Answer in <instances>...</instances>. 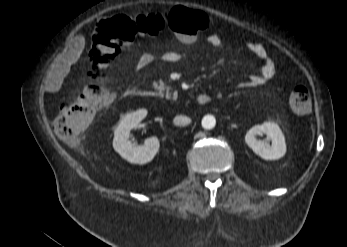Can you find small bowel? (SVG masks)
I'll return each instance as SVG.
<instances>
[{
  "instance_id": "1",
  "label": "small bowel",
  "mask_w": 347,
  "mask_h": 247,
  "mask_svg": "<svg viewBox=\"0 0 347 247\" xmlns=\"http://www.w3.org/2000/svg\"><path fill=\"white\" fill-rule=\"evenodd\" d=\"M190 43L188 41H184ZM207 42L213 47H221L223 44L222 39L216 35H210L207 38ZM84 48V40L81 37H77L69 49L65 51L60 58L56 59L50 67V82L55 88L60 84L65 71L73 61L82 52ZM247 48L254 54V56L261 62L260 70L258 74L251 75L244 83L245 86L257 87L265 84L275 74V63L271 56L266 51L265 47L258 42H249ZM183 55L176 51H168L161 57L162 61L167 63H175L181 61ZM154 60V57L149 53H143L140 55L138 62L135 66V71L139 72L150 65Z\"/></svg>"
}]
</instances>
